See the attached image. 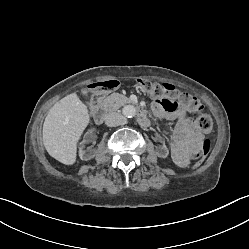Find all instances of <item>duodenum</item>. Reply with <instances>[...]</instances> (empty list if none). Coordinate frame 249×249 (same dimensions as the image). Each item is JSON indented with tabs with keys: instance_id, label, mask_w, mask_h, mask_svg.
<instances>
[{
	"instance_id": "duodenum-1",
	"label": "duodenum",
	"mask_w": 249,
	"mask_h": 249,
	"mask_svg": "<svg viewBox=\"0 0 249 249\" xmlns=\"http://www.w3.org/2000/svg\"><path fill=\"white\" fill-rule=\"evenodd\" d=\"M107 107L105 105L98 106L93 113V118L95 122L102 123L105 119V113H106ZM137 121L141 126H148L149 125V119L144 111H140L138 113Z\"/></svg>"
}]
</instances>
